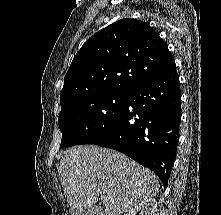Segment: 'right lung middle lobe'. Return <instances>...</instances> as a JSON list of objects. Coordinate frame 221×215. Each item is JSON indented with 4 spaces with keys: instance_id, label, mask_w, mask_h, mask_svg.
Instances as JSON below:
<instances>
[{
    "instance_id": "right-lung-middle-lobe-1",
    "label": "right lung middle lobe",
    "mask_w": 221,
    "mask_h": 215,
    "mask_svg": "<svg viewBox=\"0 0 221 215\" xmlns=\"http://www.w3.org/2000/svg\"><path fill=\"white\" fill-rule=\"evenodd\" d=\"M126 102L127 94L108 93L62 108L58 117L60 148L88 144L107 133L123 113Z\"/></svg>"
}]
</instances>
